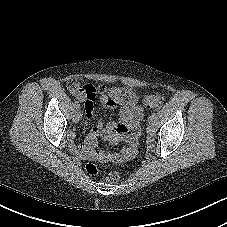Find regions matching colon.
I'll return each instance as SVG.
<instances>
[{
	"label": "colon",
	"instance_id": "colon-1",
	"mask_svg": "<svg viewBox=\"0 0 227 227\" xmlns=\"http://www.w3.org/2000/svg\"><path fill=\"white\" fill-rule=\"evenodd\" d=\"M67 88L70 92L76 93L80 89H82L79 83L72 79L67 82ZM89 93L91 96H95L97 93L100 94H107L112 101L117 104H127L132 99L133 92L126 88H119V87H111L108 88L106 86H92L89 88ZM163 98L161 95L157 93L146 95L143 99V104L146 108H155L162 105ZM86 171L90 175H97L99 173L98 167L93 163H88L85 167ZM120 179V176L117 172H111L107 175L106 180L110 183H116Z\"/></svg>",
	"mask_w": 227,
	"mask_h": 227
}]
</instances>
